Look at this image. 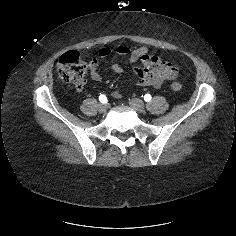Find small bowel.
<instances>
[{
	"label": "small bowel",
	"mask_w": 236,
	"mask_h": 236,
	"mask_svg": "<svg viewBox=\"0 0 236 236\" xmlns=\"http://www.w3.org/2000/svg\"><path fill=\"white\" fill-rule=\"evenodd\" d=\"M111 52L112 51L109 48H102L99 52V57H108ZM116 54L119 56H127L129 64H133L137 61L142 63V68H133L137 86H152L154 88H159L164 81L172 80L178 74V68L174 64L164 61L144 46L130 49L128 46L121 45L116 49ZM111 70L114 73H120L124 70V65L122 63H116L112 66ZM89 71L93 80H102V75L99 72L98 58L91 60L89 63ZM77 89L82 90L83 85L77 86Z\"/></svg>",
	"instance_id": "c3829d8e"
}]
</instances>
